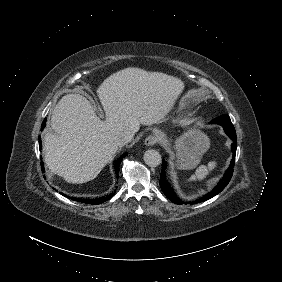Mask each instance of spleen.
Segmentation results:
<instances>
[{"label": "spleen", "mask_w": 282, "mask_h": 282, "mask_svg": "<svg viewBox=\"0 0 282 282\" xmlns=\"http://www.w3.org/2000/svg\"><path fill=\"white\" fill-rule=\"evenodd\" d=\"M218 167L217 161H209L207 165H200L196 171L195 174L191 175L188 178H184V183H199L205 181L213 171Z\"/></svg>", "instance_id": "obj_1"}]
</instances>
